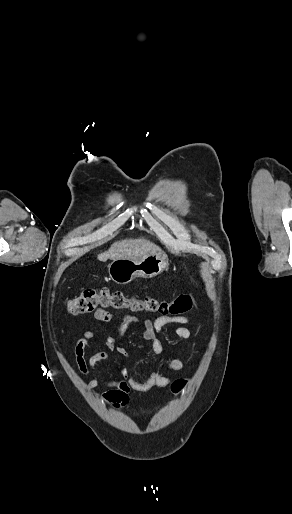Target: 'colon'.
I'll use <instances>...</instances> for the list:
<instances>
[{"label": "colon", "instance_id": "colon-1", "mask_svg": "<svg viewBox=\"0 0 292 514\" xmlns=\"http://www.w3.org/2000/svg\"><path fill=\"white\" fill-rule=\"evenodd\" d=\"M192 305L193 296L190 293H182L173 300H161L128 296L122 291L112 292L108 289L93 288H86L81 294L66 301L67 310L72 315L94 313L99 310H130L176 316L188 313ZM183 387L184 381H177L169 388V393L176 395Z\"/></svg>", "mask_w": 292, "mask_h": 514}]
</instances>
